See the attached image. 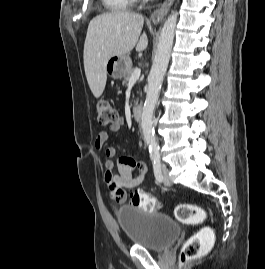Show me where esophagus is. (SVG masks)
<instances>
[{
	"label": "esophagus",
	"mask_w": 265,
	"mask_h": 269,
	"mask_svg": "<svg viewBox=\"0 0 265 269\" xmlns=\"http://www.w3.org/2000/svg\"><path fill=\"white\" fill-rule=\"evenodd\" d=\"M174 0H166L158 9H156L150 19L153 23H159L163 20V18L167 15L171 5Z\"/></svg>",
	"instance_id": "34e87169"
}]
</instances>
